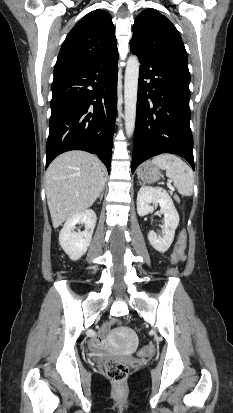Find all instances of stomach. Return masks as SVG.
I'll list each match as a JSON object with an SVG mask.
<instances>
[{"label": "stomach", "instance_id": "stomach-1", "mask_svg": "<svg viewBox=\"0 0 233 413\" xmlns=\"http://www.w3.org/2000/svg\"><path fill=\"white\" fill-rule=\"evenodd\" d=\"M137 176L144 183H154L162 176L161 171L151 162H145L137 170Z\"/></svg>", "mask_w": 233, "mask_h": 413}]
</instances>
